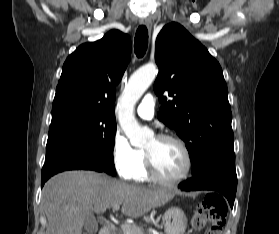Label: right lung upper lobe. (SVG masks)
<instances>
[{
    "label": "right lung upper lobe",
    "mask_w": 279,
    "mask_h": 234,
    "mask_svg": "<svg viewBox=\"0 0 279 234\" xmlns=\"http://www.w3.org/2000/svg\"><path fill=\"white\" fill-rule=\"evenodd\" d=\"M130 56L131 39L119 30L80 45L63 65L52 112L84 110L114 116L115 87Z\"/></svg>",
    "instance_id": "right-lung-upper-lobe-1"
}]
</instances>
